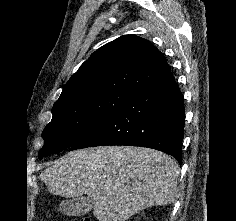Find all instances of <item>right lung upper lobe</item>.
Here are the masks:
<instances>
[{
    "mask_svg": "<svg viewBox=\"0 0 236 221\" xmlns=\"http://www.w3.org/2000/svg\"><path fill=\"white\" fill-rule=\"evenodd\" d=\"M170 71L164 55L149 41L123 35L99 48L69 79L54 104L92 92L138 91Z\"/></svg>",
    "mask_w": 236,
    "mask_h": 221,
    "instance_id": "cb5924a9",
    "label": "right lung upper lobe"
}]
</instances>
